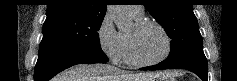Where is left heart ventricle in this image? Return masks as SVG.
<instances>
[{
    "label": "left heart ventricle",
    "mask_w": 237,
    "mask_h": 81,
    "mask_svg": "<svg viewBox=\"0 0 237 81\" xmlns=\"http://www.w3.org/2000/svg\"><path fill=\"white\" fill-rule=\"evenodd\" d=\"M138 56L143 60H156L166 50V40L160 30L155 26L136 29L133 25L128 31Z\"/></svg>",
    "instance_id": "obj_1"
}]
</instances>
